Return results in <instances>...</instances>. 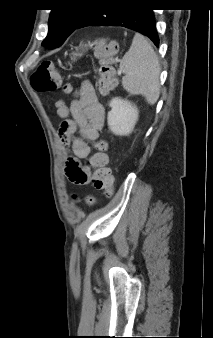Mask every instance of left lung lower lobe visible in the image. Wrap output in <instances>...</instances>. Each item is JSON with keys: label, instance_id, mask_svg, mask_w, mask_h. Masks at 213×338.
Listing matches in <instances>:
<instances>
[{"label": "left lung lower lobe", "instance_id": "1", "mask_svg": "<svg viewBox=\"0 0 213 338\" xmlns=\"http://www.w3.org/2000/svg\"><path fill=\"white\" fill-rule=\"evenodd\" d=\"M87 26H122L146 35L156 46L159 44L154 13L145 0L102 2L83 18L76 29Z\"/></svg>", "mask_w": 213, "mask_h": 338}]
</instances>
